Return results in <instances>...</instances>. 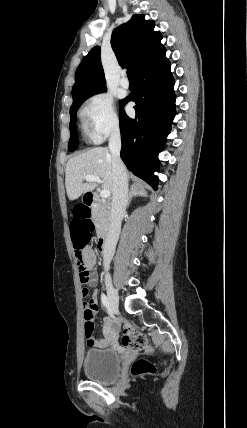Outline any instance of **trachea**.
<instances>
[{
    "label": "trachea",
    "mask_w": 247,
    "mask_h": 428,
    "mask_svg": "<svg viewBox=\"0 0 247 428\" xmlns=\"http://www.w3.org/2000/svg\"><path fill=\"white\" fill-rule=\"evenodd\" d=\"M127 76H128V78H129V80H133V77H132V71L129 69V70H127Z\"/></svg>",
    "instance_id": "1"
}]
</instances>
